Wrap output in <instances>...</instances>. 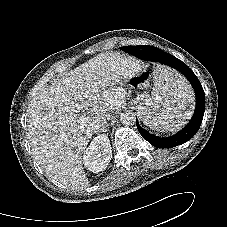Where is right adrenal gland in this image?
<instances>
[{
    "mask_svg": "<svg viewBox=\"0 0 227 227\" xmlns=\"http://www.w3.org/2000/svg\"><path fill=\"white\" fill-rule=\"evenodd\" d=\"M108 125H105L104 126V128L101 130L102 132H106V127H107Z\"/></svg>",
    "mask_w": 227,
    "mask_h": 227,
    "instance_id": "right-adrenal-gland-1",
    "label": "right adrenal gland"
}]
</instances>
